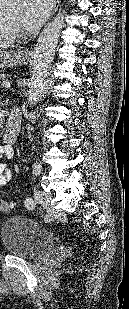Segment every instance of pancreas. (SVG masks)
Returning <instances> with one entry per match:
<instances>
[{
	"mask_svg": "<svg viewBox=\"0 0 129 309\" xmlns=\"http://www.w3.org/2000/svg\"><path fill=\"white\" fill-rule=\"evenodd\" d=\"M5 80V75L0 73V84H1V81Z\"/></svg>",
	"mask_w": 129,
	"mask_h": 309,
	"instance_id": "pancreas-1",
	"label": "pancreas"
}]
</instances>
